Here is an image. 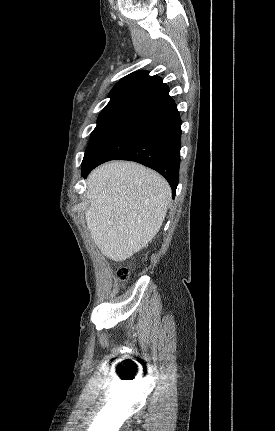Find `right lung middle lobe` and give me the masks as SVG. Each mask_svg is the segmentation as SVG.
I'll list each match as a JSON object with an SVG mask.
<instances>
[{
    "mask_svg": "<svg viewBox=\"0 0 275 431\" xmlns=\"http://www.w3.org/2000/svg\"><path fill=\"white\" fill-rule=\"evenodd\" d=\"M133 111H114L100 113L97 126L91 134V141L86 149L82 161V168L86 167L99 151L109 142L114 134L133 116Z\"/></svg>",
    "mask_w": 275,
    "mask_h": 431,
    "instance_id": "right-lung-middle-lobe-1",
    "label": "right lung middle lobe"
}]
</instances>
